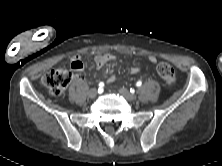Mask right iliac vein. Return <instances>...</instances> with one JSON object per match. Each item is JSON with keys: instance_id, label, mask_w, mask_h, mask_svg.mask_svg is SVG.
I'll list each match as a JSON object with an SVG mask.
<instances>
[{"instance_id": "obj_1", "label": "right iliac vein", "mask_w": 222, "mask_h": 166, "mask_svg": "<svg viewBox=\"0 0 222 166\" xmlns=\"http://www.w3.org/2000/svg\"><path fill=\"white\" fill-rule=\"evenodd\" d=\"M88 96H89L90 98L96 97V96H97V90H96L95 88L90 89L89 92H88Z\"/></svg>"}]
</instances>
